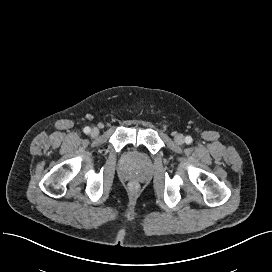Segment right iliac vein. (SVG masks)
I'll list each match as a JSON object with an SVG mask.
<instances>
[{
	"label": "right iliac vein",
	"instance_id": "obj_1",
	"mask_svg": "<svg viewBox=\"0 0 272 272\" xmlns=\"http://www.w3.org/2000/svg\"><path fill=\"white\" fill-rule=\"evenodd\" d=\"M91 136L92 137H97L98 135H99V130H98V128H93L92 130H91Z\"/></svg>",
	"mask_w": 272,
	"mask_h": 272
}]
</instances>
